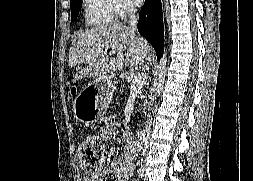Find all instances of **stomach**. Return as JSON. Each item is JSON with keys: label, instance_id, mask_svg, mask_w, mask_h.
I'll use <instances>...</instances> for the list:
<instances>
[{"label": "stomach", "instance_id": "stomach-1", "mask_svg": "<svg viewBox=\"0 0 253 181\" xmlns=\"http://www.w3.org/2000/svg\"><path fill=\"white\" fill-rule=\"evenodd\" d=\"M115 88L113 75L96 78L74 102L75 116L84 122H94L101 118L109 106ZM82 97V98H80Z\"/></svg>", "mask_w": 253, "mask_h": 181}]
</instances>
